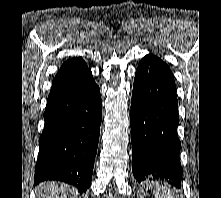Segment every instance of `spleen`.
Here are the masks:
<instances>
[{"instance_id":"3e777b00","label":"spleen","mask_w":221,"mask_h":198,"mask_svg":"<svg viewBox=\"0 0 221 198\" xmlns=\"http://www.w3.org/2000/svg\"><path fill=\"white\" fill-rule=\"evenodd\" d=\"M155 198H174V196L171 195L170 191L166 189V186H158L156 190L154 191Z\"/></svg>"}]
</instances>
